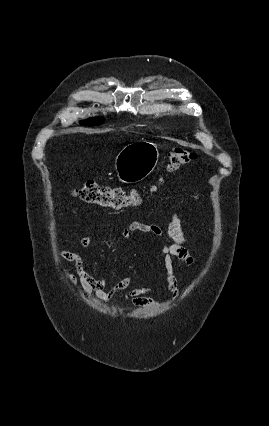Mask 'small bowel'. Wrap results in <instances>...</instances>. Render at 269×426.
I'll return each instance as SVG.
<instances>
[{"label":"small bowel","instance_id":"small-bowel-1","mask_svg":"<svg viewBox=\"0 0 269 426\" xmlns=\"http://www.w3.org/2000/svg\"><path fill=\"white\" fill-rule=\"evenodd\" d=\"M133 233H141L151 238H158L163 240L164 245L161 248L163 266L165 269V280L167 294L172 297H178L180 293V285L177 277L174 274L173 258H178L187 267H191L194 259L189 253L185 242L186 238L181 229L180 220L174 214L166 228L163 230L160 226L142 221H134L128 227L120 231L123 239L129 240ZM95 236H86L82 239L81 244L84 249H88ZM64 259L72 262L75 267V273L63 271V276L71 285L80 284L86 296L95 295L103 303H108L116 294L126 290L132 283L130 275L125 276L117 282L110 290H106L108 283V275L100 278H95L85 268L82 257L75 252L69 250H62L61 252ZM155 280L152 285L145 287H137L128 290L127 295L132 299V302L140 307H156L161 303V298H154L150 293L154 290Z\"/></svg>","mask_w":269,"mask_h":426}]
</instances>
